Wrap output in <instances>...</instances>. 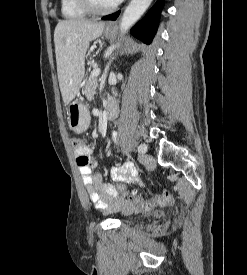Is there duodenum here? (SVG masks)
I'll list each match as a JSON object with an SVG mask.
<instances>
[{
    "label": "duodenum",
    "mask_w": 247,
    "mask_h": 275,
    "mask_svg": "<svg viewBox=\"0 0 247 275\" xmlns=\"http://www.w3.org/2000/svg\"><path fill=\"white\" fill-rule=\"evenodd\" d=\"M117 112V106L114 103H109L105 110V115L108 120H112Z\"/></svg>",
    "instance_id": "duodenum-1"
}]
</instances>
